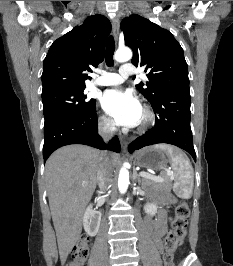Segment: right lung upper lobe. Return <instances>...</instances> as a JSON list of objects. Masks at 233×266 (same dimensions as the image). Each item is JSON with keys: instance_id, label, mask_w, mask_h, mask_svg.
Listing matches in <instances>:
<instances>
[{"instance_id": "1", "label": "right lung upper lobe", "mask_w": 233, "mask_h": 266, "mask_svg": "<svg viewBox=\"0 0 233 266\" xmlns=\"http://www.w3.org/2000/svg\"><path fill=\"white\" fill-rule=\"evenodd\" d=\"M111 30L110 21L102 15L88 17L51 45L44 59L42 95L63 89L85 88L91 66L104 59V48Z\"/></svg>"}]
</instances>
